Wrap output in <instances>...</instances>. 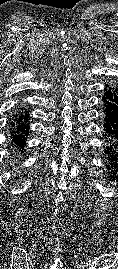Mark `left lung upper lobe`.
I'll return each instance as SVG.
<instances>
[{"instance_id":"1","label":"left lung upper lobe","mask_w":118,"mask_h":269,"mask_svg":"<svg viewBox=\"0 0 118 269\" xmlns=\"http://www.w3.org/2000/svg\"><path fill=\"white\" fill-rule=\"evenodd\" d=\"M112 87L115 89H118V85H116V84H112Z\"/></svg>"}]
</instances>
